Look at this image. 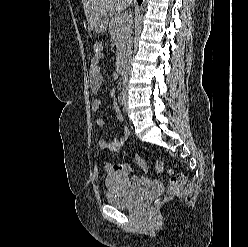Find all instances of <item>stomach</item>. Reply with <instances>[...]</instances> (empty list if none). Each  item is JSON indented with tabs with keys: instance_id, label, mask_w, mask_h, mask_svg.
<instances>
[{
	"instance_id": "1",
	"label": "stomach",
	"mask_w": 248,
	"mask_h": 247,
	"mask_svg": "<svg viewBox=\"0 0 248 247\" xmlns=\"http://www.w3.org/2000/svg\"><path fill=\"white\" fill-rule=\"evenodd\" d=\"M107 26H108V16L104 15L98 20L93 30L96 33H104L107 29Z\"/></svg>"
}]
</instances>
